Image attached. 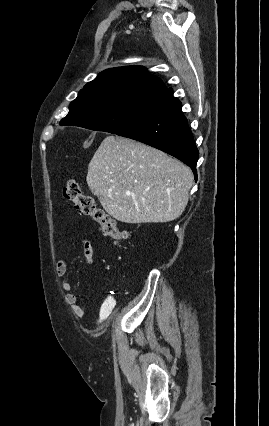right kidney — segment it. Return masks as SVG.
<instances>
[{"instance_id": "obj_1", "label": "right kidney", "mask_w": 269, "mask_h": 426, "mask_svg": "<svg viewBox=\"0 0 269 426\" xmlns=\"http://www.w3.org/2000/svg\"><path fill=\"white\" fill-rule=\"evenodd\" d=\"M115 302L113 299L108 298L102 305L100 310V321L106 319L114 308Z\"/></svg>"}]
</instances>
